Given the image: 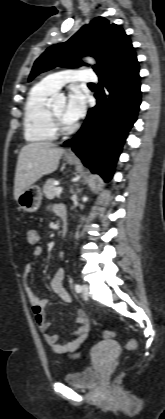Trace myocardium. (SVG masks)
Instances as JSON below:
<instances>
[{
    "label": "myocardium",
    "instance_id": "1",
    "mask_svg": "<svg viewBox=\"0 0 165 419\" xmlns=\"http://www.w3.org/2000/svg\"><path fill=\"white\" fill-rule=\"evenodd\" d=\"M50 117L55 128V131L58 134H67L71 131L72 127L63 119H61L53 110L49 109Z\"/></svg>",
    "mask_w": 165,
    "mask_h": 419
}]
</instances>
